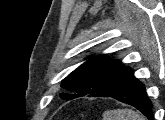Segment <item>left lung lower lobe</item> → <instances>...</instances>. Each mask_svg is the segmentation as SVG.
<instances>
[{
  "label": "left lung lower lobe",
  "instance_id": "left-lung-lower-lobe-1",
  "mask_svg": "<svg viewBox=\"0 0 165 120\" xmlns=\"http://www.w3.org/2000/svg\"><path fill=\"white\" fill-rule=\"evenodd\" d=\"M107 97L130 104L142 112L149 120H153L152 103L147 98L145 86L135 78L131 69L122 84Z\"/></svg>",
  "mask_w": 165,
  "mask_h": 120
}]
</instances>
